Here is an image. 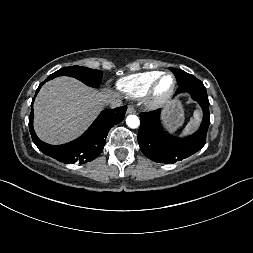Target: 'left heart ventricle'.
I'll return each instance as SVG.
<instances>
[{
    "instance_id": "obj_1",
    "label": "left heart ventricle",
    "mask_w": 253,
    "mask_h": 253,
    "mask_svg": "<svg viewBox=\"0 0 253 253\" xmlns=\"http://www.w3.org/2000/svg\"><path fill=\"white\" fill-rule=\"evenodd\" d=\"M171 86H172V78L169 76H165L158 86L157 89L158 94L166 93L171 88Z\"/></svg>"
}]
</instances>
